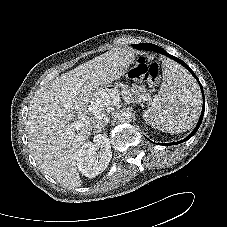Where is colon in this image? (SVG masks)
<instances>
[{
	"label": "colon",
	"mask_w": 227,
	"mask_h": 227,
	"mask_svg": "<svg viewBox=\"0 0 227 227\" xmlns=\"http://www.w3.org/2000/svg\"><path fill=\"white\" fill-rule=\"evenodd\" d=\"M128 75L133 80L156 85L159 82V66L156 63L148 64L144 57H139L130 65Z\"/></svg>",
	"instance_id": "1"
}]
</instances>
